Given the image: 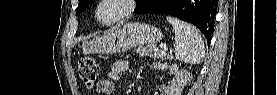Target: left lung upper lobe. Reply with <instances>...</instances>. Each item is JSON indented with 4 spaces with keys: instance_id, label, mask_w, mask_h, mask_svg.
<instances>
[{
    "instance_id": "obj_1",
    "label": "left lung upper lobe",
    "mask_w": 277,
    "mask_h": 95,
    "mask_svg": "<svg viewBox=\"0 0 277 95\" xmlns=\"http://www.w3.org/2000/svg\"><path fill=\"white\" fill-rule=\"evenodd\" d=\"M95 0H79L78 7L76 9V14L83 11L91 2H94ZM138 4L135 8V12L141 9L145 4L149 2V0H138Z\"/></svg>"
}]
</instances>
